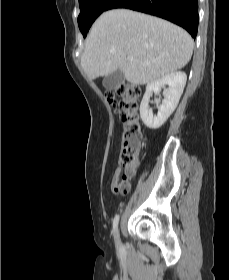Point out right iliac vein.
I'll use <instances>...</instances> for the list:
<instances>
[{
    "label": "right iliac vein",
    "instance_id": "1",
    "mask_svg": "<svg viewBox=\"0 0 229 280\" xmlns=\"http://www.w3.org/2000/svg\"><path fill=\"white\" fill-rule=\"evenodd\" d=\"M116 236H117V240L119 241V231L118 230H117Z\"/></svg>",
    "mask_w": 229,
    "mask_h": 280
}]
</instances>
